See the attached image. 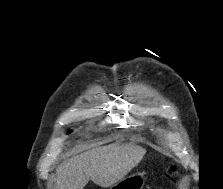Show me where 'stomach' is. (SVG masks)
<instances>
[{
  "mask_svg": "<svg viewBox=\"0 0 223 189\" xmlns=\"http://www.w3.org/2000/svg\"><path fill=\"white\" fill-rule=\"evenodd\" d=\"M144 182V174L137 172L122 178L116 184L112 185L110 189H142Z\"/></svg>",
  "mask_w": 223,
  "mask_h": 189,
  "instance_id": "1",
  "label": "stomach"
}]
</instances>
